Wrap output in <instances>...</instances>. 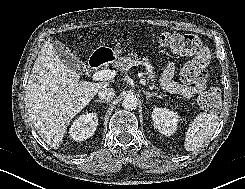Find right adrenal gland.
<instances>
[{"instance_id": "1", "label": "right adrenal gland", "mask_w": 245, "mask_h": 189, "mask_svg": "<svg viewBox=\"0 0 245 189\" xmlns=\"http://www.w3.org/2000/svg\"><path fill=\"white\" fill-rule=\"evenodd\" d=\"M94 101L97 102V103H105V101L98 100V99H96V100H94Z\"/></svg>"}]
</instances>
